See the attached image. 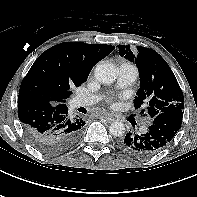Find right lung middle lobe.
Masks as SVG:
<instances>
[{
  "label": "right lung middle lobe",
  "instance_id": "dd1d6c3e",
  "mask_svg": "<svg viewBox=\"0 0 197 197\" xmlns=\"http://www.w3.org/2000/svg\"><path fill=\"white\" fill-rule=\"evenodd\" d=\"M37 90L48 100L54 97V90L47 84H37Z\"/></svg>",
  "mask_w": 197,
  "mask_h": 197
}]
</instances>
